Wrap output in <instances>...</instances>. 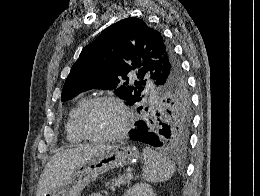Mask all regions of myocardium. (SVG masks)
Returning <instances> with one entry per match:
<instances>
[{
  "label": "myocardium",
  "mask_w": 260,
  "mask_h": 196,
  "mask_svg": "<svg viewBox=\"0 0 260 196\" xmlns=\"http://www.w3.org/2000/svg\"><path fill=\"white\" fill-rule=\"evenodd\" d=\"M102 102L117 106L122 113L123 123L121 127L114 133L106 134V135H92L86 131V129L82 124L83 115L90 107H92L97 103H102ZM131 123H132V117L126 104L118 97L110 94L97 95L88 99L79 108L75 118V125L79 133L83 136L85 140L94 141V142H112V141L123 139L128 133Z\"/></svg>",
  "instance_id": "obj_1"
}]
</instances>
